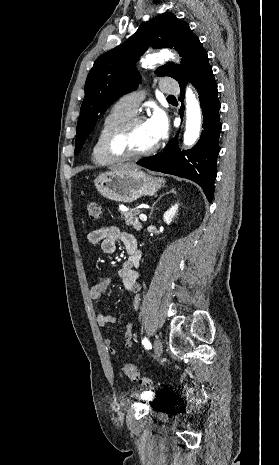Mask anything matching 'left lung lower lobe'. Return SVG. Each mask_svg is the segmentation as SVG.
Masks as SVG:
<instances>
[{
	"label": "left lung lower lobe",
	"instance_id": "0a47b994",
	"mask_svg": "<svg viewBox=\"0 0 279 465\" xmlns=\"http://www.w3.org/2000/svg\"><path fill=\"white\" fill-rule=\"evenodd\" d=\"M187 81L194 84L200 95L199 100L204 116L203 131L198 143L192 149L181 152L178 149L177 134L168 142L162 153L143 158L138 161V164L153 171L176 175L196 182L211 202L214 195V180L217 175L216 159L220 151L219 136L222 124L219 120L221 105L218 101L217 84L208 62L207 52L200 57L192 73L179 82L182 96ZM183 109L184 107L180 109V114H183Z\"/></svg>",
	"mask_w": 279,
	"mask_h": 465
}]
</instances>
